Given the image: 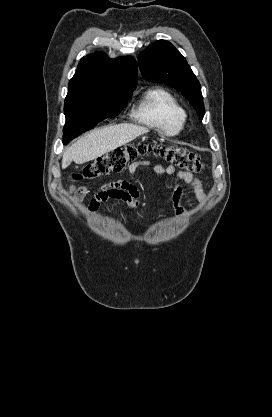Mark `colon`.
<instances>
[{
	"mask_svg": "<svg viewBox=\"0 0 272 417\" xmlns=\"http://www.w3.org/2000/svg\"><path fill=\"white\" fill-rule=\"evenodd\" d=\"M156 153L165 158L174 166L189 173H197L204 169L205 165L199 155L173 145L151 147L147 144L127 145L117 148L95 161L87 164L82 172L73 175L76 180L97 179L112 172L122 170L125 165L139 157Z\"/></svg>",
	"mask_w": 272,
	"mask_h": 417,
	"instance_id": "5ec220e1",
	"label": "colon"
}]
</instances>
